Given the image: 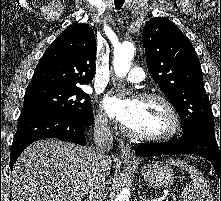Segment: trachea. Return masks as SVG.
<instances>
[{
	"label": "trachea",
	"instance_id": "3493384b",
	"mask_svg": "<svg viewBox=\"0 0 221 201\" xmlns=\"http://www.w3.org/2000/svg\"><path fill=\"white\" fill-rule=\"evenodd\" d=\"M124 2L125 0H114L117 9H120L123 6Z\"/></svg>",
	"mask_w": 221,
	"mask_h": 201
}]
</instances>
